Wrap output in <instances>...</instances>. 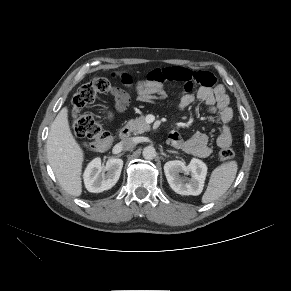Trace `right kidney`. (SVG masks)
<instances>
[{
    "mask_svg": "<svg viewBox=\"0 0 291 291\" xmlns=\"http://www.w3.org/2000/svg\"><path fill=\"white\" fill-rule=\"evenodd\" d=\"M123 167V160L109 159L101 166V159H93L85 169L84 183L89 192L100 193L111 189L118 181ZM106 171V174L104 172Z\"/></svg>",
    "mask_w": 291,
    "mask_h": 291,
    "instance_id": "1",
    "label": "right kidney"
}]
</instances>
